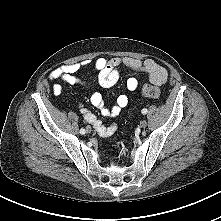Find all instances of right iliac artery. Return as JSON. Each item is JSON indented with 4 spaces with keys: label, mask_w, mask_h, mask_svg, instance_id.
<instances>
[{
    "label": "right iliac artery",
    "mask_w": 221,
    "mask_h": 221,
    "mask_svg": "<svg viewBox=\"0 0 221 221\" xmlns=\"http://www.w3.org/2000/svg\"><path fill=\"white\" fill-rule=\"evenodd\" d=\"M85 132H86L85 129L83 128L80 129V134H85Z\"/></svg>",
    "instance_id": "82829eb1"
}]
</instances>
